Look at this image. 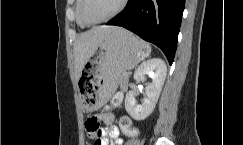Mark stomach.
<instances>
[{"label": "stomach", "instance_id": "1", "mask_svg": "<svg viewBox=\"0 0 243 145\" xmlns=\"http://www.w3.org/2000/svg\"><path fill=\"white\" fill-rule=\"evenodd\" d=\"M97 49L78 80L79 87H85L81 88L78 102H84L89 112L104 106L116 91L120 75L151 52L146 42L122 28L107 35Z\"/></svg>", "mask_w": 243, "mask_h": 145}]
</instances>
